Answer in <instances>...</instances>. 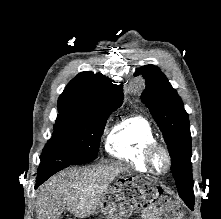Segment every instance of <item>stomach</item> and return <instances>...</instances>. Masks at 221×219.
I'll list each match as a JSON object with an SVG mask.
<instances>
[{
    "instance_id": "obj_1",
    "label": "stomach",
    "mask_w": 221,
    "mask_h": 219,
    "mask_svg": "<svg viewBox=\"0 0 221 219\" xmlns=\"http://www.w3.org/2000/svg\"><path fill=\"white\" fill-rule=\"evenodd\" d=\"M153 195H158L162 199L163 195H168V190H153Z\"/></svg>"
}]
</instances>
